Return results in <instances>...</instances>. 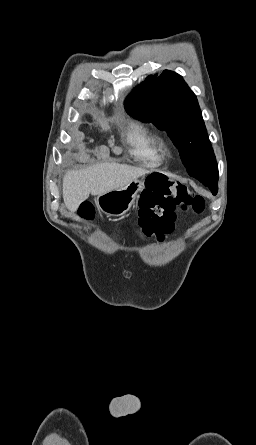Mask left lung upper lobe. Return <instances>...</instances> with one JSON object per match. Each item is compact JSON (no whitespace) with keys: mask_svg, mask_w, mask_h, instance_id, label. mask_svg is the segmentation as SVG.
<instances>
[{"mask_svg":"<svg viewBox=\"0 0 256 445\" xmlns=\"http://www.w3.org/2000/svg\"><path fill=\"white\" fill-rule=\"evenodd\" d=\"M134 118L167 131L192 177L218 179V166L197 98L182 76L165 70L149 76L125 100Z\"/></svg>","mask_w":256,"mask_h":445,"instance_id":"1","label":"left lung upper lobe"}]
</instances>
